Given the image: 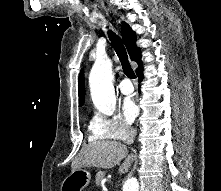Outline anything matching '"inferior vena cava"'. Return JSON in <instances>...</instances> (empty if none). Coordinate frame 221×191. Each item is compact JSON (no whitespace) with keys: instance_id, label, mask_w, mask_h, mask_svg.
Instances as JSON below:
<instances>
[{"instance_id":"602c4592","label":"inferior vena cava","mask_w":221,"mask_h":191,"mask_svg":"<svg viewBox=\"0 0 221 191\" xmlns=\"http://www.w3.org/2000/svg\"><path fill=\"white\" fill-rule=\"evenodd\" d=\"M126 143L128 145L133 144L134 140H135V136H136V130L132 127L127 128L126 130Z\"/></svg>"}]
</instances>
